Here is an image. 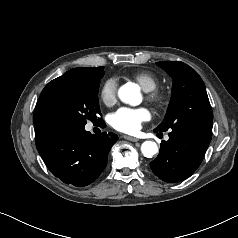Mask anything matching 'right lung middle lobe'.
Wrapping results in <instances>:
<instances>
[{"mask_svg":"<svg viewBox=\"0 0 238 238\" xmlns=\"http://www.w3.org/2000/svg\"><path fill=\"white\" fill-rule=\"evenodd\" d=\"M104 67L90 68L87 73L66 72L50 83L52 118L55 124L85 125L100 113L98 89ZM100 119V118H99Z\"/></svg>","mask_w":238,"mask_h":238,"instance_id":"obj_1","label":"right lung middle lobe"}]
</instances>
